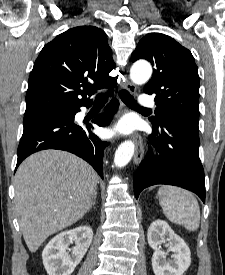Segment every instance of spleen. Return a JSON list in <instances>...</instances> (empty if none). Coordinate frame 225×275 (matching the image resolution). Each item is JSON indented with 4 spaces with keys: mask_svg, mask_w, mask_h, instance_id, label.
Listing matches in <instances>:
<instances>
[{
    "mask_svg": "<svg viewBox=\"0 0 225 275\" xmlns=\"http://www.w3.org/2000/svg\"><path fill=\"white\" fill-rule=\"evenodd\" d=\"M159 203L166 218L195 231L200 224V208L196 198L188 191L175 186L165 185L158 190Z\"/></svg>",
    "mask_w": 225,
    "mask_h": 275,
    "instance_id": "spleen-1",
    "label": "spleen"
}]
</instances>
